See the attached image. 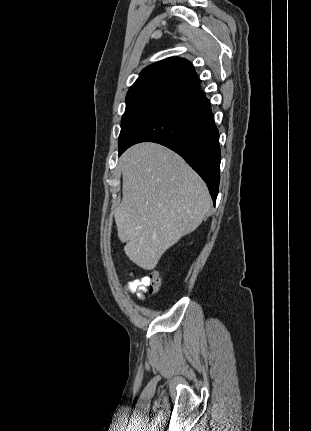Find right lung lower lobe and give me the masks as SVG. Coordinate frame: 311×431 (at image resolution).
<instances>
[{
  "label": "right lung lower lobe",
  "mask_w": 311,
  "mask_h": 431,
  "mask_svg": "<svg viewBox=\"0 0 311 431\" xmlns=\"http://www.w3.org/2000/svg\"><path fill=\"white\" fill-rule=\"evenodd\" d=\"M139 142L162 144L183 157L206 182L215 203L220 181L219 133L201 90L159 111L132 135L121 153Z\"/></svg>",
  "instance_id": "98d812e1"
}]
</instances>
